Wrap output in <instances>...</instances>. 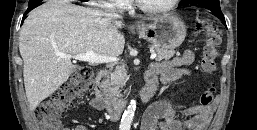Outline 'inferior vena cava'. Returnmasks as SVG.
I'll list each match as a JSON object with an SVG mask.
<instances>
[{"label": "inferior vena cava", "mask_w": 257, "mask_h": 130, "mask_svg": "<svg viewBox=\"0 0 257 130\" xmlns=\"http://www.w3.org/2000/svg\"><path fill=\"white\" fill-rule=\"evenodd\" d=\"M104 13H105V15H106L108 18H111V19L120 18V15H119L114 9L106 10Z\"/></svg>", "instance_id": "602c4592"}]
</instances>
